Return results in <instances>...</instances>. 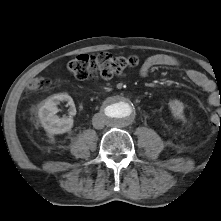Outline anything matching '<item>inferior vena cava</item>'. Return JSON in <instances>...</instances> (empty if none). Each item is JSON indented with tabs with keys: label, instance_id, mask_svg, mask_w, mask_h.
<instances>
[{
	"label": "inferior vena cava",
	"instance_id": "obj_1",
	"mask_svg": "<svg viewBox=\"0 0 221 221\" xmlns=\"http://www.w3.org/2000/svg\"><path fill=\"white\" fill-rule=\"evenodd\" d=\"M106 119L102 114H95L92 118V125L95 129H103Z\"/></svg>",
	"mask_w": 221,
	"mask_h": 221
}]
</instances>
